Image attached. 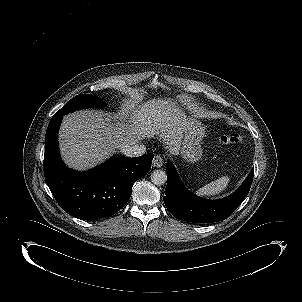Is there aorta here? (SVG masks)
Returning a JSON list of instances; mask_svg holds the SVG:
<instances>
[{
  "instance_id": "aorta-1",
  "label": "aorta",
  "mask_w": 302,
  "mask_h": 302,
  "mask_svg": "<svg viewBox=\"0 0 302 302\" xmlns=\"http://www.w3.org/2000/svg\"><path fill=\"white\" fill-rule=\"evenodd\" d=\"M150 177H151V182L157 186L163 185L167 181V175L163 170H154L151 173Z\"/></svg>"
}]
</instances>
